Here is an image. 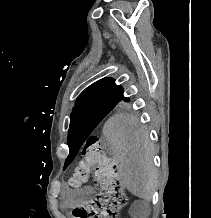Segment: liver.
<instances>
[{"instance_id": "1", "label": "liver", "mask_w": 211, "mask_h": 218, "mask_svg": "<svg viewBox=\"0 0 211 218\" xmlns=\"http://www.w3.org/2000/svg\"><path fill=\"white\" fill-rule=\"evenodd\" d=\"M114 154L115 166L127 190L151 200L158 182L153 166V146L148 130L139 124V118L133 114H115L103 126Z\"/></svg>"}]
</instances>
